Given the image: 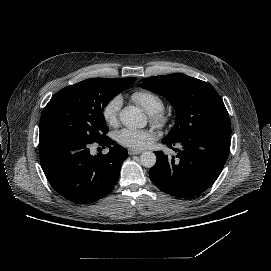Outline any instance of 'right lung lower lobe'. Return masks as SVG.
Segmentation results:
<instances>
[{
  "label": "right lung lower lobe",
  "instance_id": "98d812e1",
  "mask_svg": "<svg viewBox=\"0 0 271 271\" xmlns=\"http://www.w3.org/2000/svg\"><path fill=\"white\" fill-rule=\"evenodd\" d=\"M97 143L109 147V152L92 156V143L70 137L40 140L42 169L51 186L67 200L79 204L95 202L115 186L128 152L120 145L112 146L114 141L106 136Z\"/></svg>",
  "mask_w": 271,
  "mask_h": 271
}]
</instances>
